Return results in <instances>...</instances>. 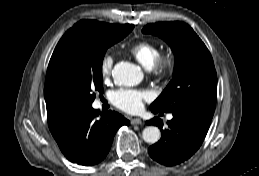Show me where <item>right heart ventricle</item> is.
Wrapping results in <instances>:
<instances>
[{
  "label": "right heart ventricle",
  "mask_w": 259,
  "mask_h": 176,
  "mask_svg": "<svg viewBox=\"0 0 259 176\" xmlns=\"http://www.w3.org/2000/svg\"><path fill=\"white\" fill-rule=\"evenodd\" d=\"M160 47L154 42L148 40H140L134 42L129 53L146 69H151L159 56Z\"/></svg>",
  "instance_id": "1"
}]
</instances>
